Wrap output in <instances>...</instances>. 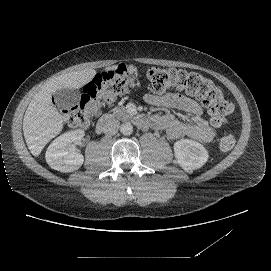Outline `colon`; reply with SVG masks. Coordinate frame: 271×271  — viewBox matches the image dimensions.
Wrapping results in <instances>:
<instances>
[{"label":"colon","instance_id":"colon-1","mask_svg":"<svg viewBox=\"0 0 271 271\" xmlns=\"http://www.w3.org/2000/svg\"><path fill=\"white\" fill-rule=\"evenodd\" d=\"M153 94L171 90L183 91L199 97L208 107L210 124L219 128L228 123L234 106L224 98L222 90L209 78L198 72L183 69L152 67L147 72ZM138 81V70L133 64H120L115 70L97 74L86 86L80 102L63 113L65 122L73 127H87L93 117L115 96L133 89ZM236 143L232 134L219 142L222 152L230 151Z\"/></svg>","mask_w":271,"mask_h":271}]
</instances>
